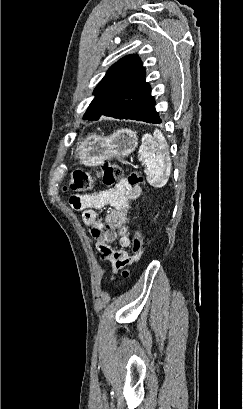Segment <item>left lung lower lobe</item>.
Segmentation results:
<instances>
[{"label": "left lung lower lobe", "mask_w": 243, "mask_h": 409, "mask_svg": "<svg viewBox=\"0 0 243 409\" xmlns=\"http://www.w3.org/2000/svg\"><path fill=\"white\" fill-rule=\"evenodd\" d=\"M155 101L151 93L145 97L142 101L128 105L125 112L121 115H117L111 112H105L103 115L119 118V119H132L137 121H143L147 123H161L159 115L155 111Z\"/></svg>", "instance_id": "1"}]
</instances>
